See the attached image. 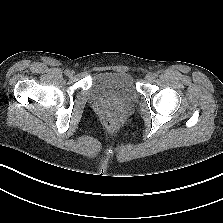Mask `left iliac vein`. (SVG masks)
Listing matches in <instances>:
<instances>
[{"instance_id": "4c4485c4", "label": "left iliac vein", "mask_w": 223, "mask_h": 223, "mask_svg": "<svg viewBox=\"0 0 223 223\" xmlns=\"http://www.w3.org/2000/svg\"><path fill=\"white\" fill-rule=\"evenodd\" d=\"M153 79H154V74L153 73L149 72V73L146 74L145 80L147 82H151Z\"/></svg>"}]
</instances>
